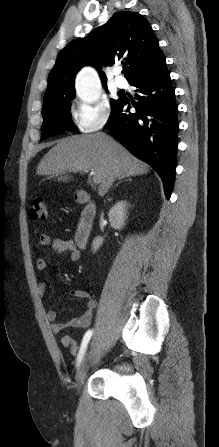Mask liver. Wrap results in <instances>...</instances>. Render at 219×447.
Wrapping results in <instances>:
<instances>
[{
  "label": "liver",
  "instance_id": "1",
  "mask_svg": "<svg viewBox=\"0 0 219 447\" xmlns=\"http://www.w3.org/2000/svg\"><path fill=\"white\" fill-rule=\"evenodd\" d=\"M94 172L98 194L104 196L116 179L146 174L149 166L104 133L60 139L43 157L37 174L67 182L66 171Z\"/></svg>",
  "mask_w": 219,
  "mask_h": 447
}]
</instances>
